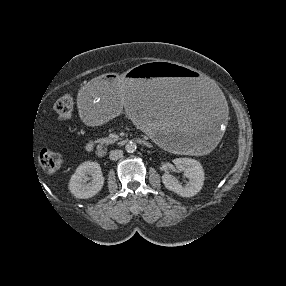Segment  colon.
Here are the masks:
<instances>
[{
  "mask_svg": "<svg viewBox=\"0 0 286 286\" xmlns=\"http://www.w3.org/2000/svg\"><path fill=\"white\" fill-rule=\"evenodd\" d=\"M54 110L61 119L70 117L74 110V99L68 95L59 98L54 104ZM39 162L46 173L53 174L62 166L63 156L58 152L43 149L39 153Z\"/></svg>",
  "mask_w": 286,
  "mask_h": 286,
  "instance_id": "1",
  "label": "colon"
}]
</instances>
